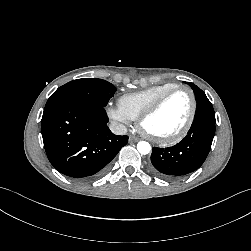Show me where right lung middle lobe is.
I'll use <instances>...</instances> for the list:
<instances>
[{
  "mask_svg": "<svg viewBox=\"0 0 251 251\" xmlns=\"http://www.w3.org/2000/svg\"><path fill=\"white\" fill-rule=\"evenodd\" d=\"M115 91L113 84L102 79H77L59 87L48 99L46 106L60 101L73 100L105 107Z\"/></svg>",
  "mask_w": 251,
  "mask_h": 251,
  "instance_id": "dd1d6c3e",
  "label": "right lung middle lobe"
}]
</instances>
